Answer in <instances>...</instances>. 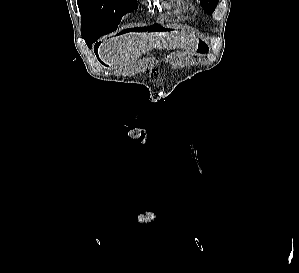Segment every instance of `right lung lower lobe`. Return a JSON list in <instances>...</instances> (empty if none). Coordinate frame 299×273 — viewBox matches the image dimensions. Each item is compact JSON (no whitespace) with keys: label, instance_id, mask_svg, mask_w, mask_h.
<instances>
[{"label":"right lung lower lobe","instance_id":"1","mask_svg":"<svg viewBox=\"0 0 299 273\" xmlns=\"http://www.w3.org/2000/svg\"><path fill=\"white\" fill-rule=\"evenodd\" d=\"M101 36H102L101 34H99V33H95V34H91V35H89V36H87V37H83V38H84V40H85L87 46H88L89 48H91V47H92V44H93L94 42H96V40H97L99 37H101ZM97 45H98V42L95 44V47H97Z\"/></svg>","mask_w":299,"mask_h":273}]
</instances>
